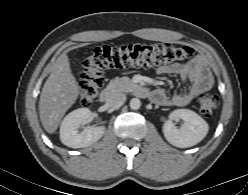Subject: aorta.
I'll use <instances>...</instances> for the list:
<instances>
[{"mask_svg":"<svg viewBox=\"0 0 248 195\" xmlns=\"http://www.w3.org/2000/svg\"><path fill=\"white\" fill-rule=\"evenodd\" d=\"M141 106V101L138 98H132L130 101V108L133 110H138Z\"/></svg>","mask_w":248,"mask_h":195,"instance_id":"aorta-1","label":"aorta"}]
</instances>
